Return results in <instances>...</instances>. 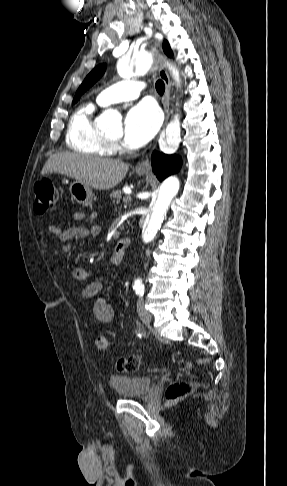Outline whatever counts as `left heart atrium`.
I'll use <instances>...</instances> for the list:
<instances>
[{
	"instance_id": "39dd6f15",
	"label": "left heart atrium",
	"mask_w": 287,
	"mask_h": 486,
	"mask_svg": "<svg viewBox=\"0 0 287 486\" xmlns=\"http://www.w3.org/2000/svg\"><path fill=\"white\" fill-rule=\"evenodd\" d=\"M160 123V113L153 104L142 102L134 106L124 120V145L131 149L142 147L156 134Z\"/></svg>"
}]
</instances>
